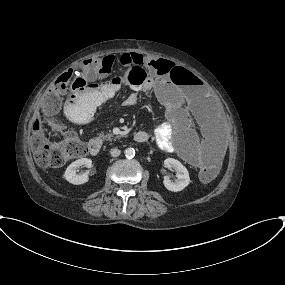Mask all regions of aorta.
<instances>
[{
	"mask_svg": "<svg viewBox=\"0 0 285 285\" xmlns=\"http://www.w3.org/2000/svg\"><path fill=\"white\" fill-rule=\"evenodd\" d=\"M126 158H133L135 156V150L134 148H127L125 151Z\"/></svg>",
	"mask_w": 285,
	"mask_h": 285,
	"instance_id": "1",
	"label": "aorta"
}]
</instances>
